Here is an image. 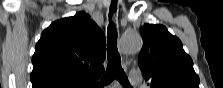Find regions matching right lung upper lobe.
Returning <instances> with one entry per match:
<instances>
[{
    "label": "right lung upper lobe",
    "mask_w": 223,
    "mask_h": 88,
    "mask_svg": "<svg viewBox=\"0 0 223 88\" xmlns=\"http://www.w3.org/2000/svg\"><path fill=\"white\" fill-rule=\"evenodd\" d=\"M105 57L104 33L88 14L57 20L36 44L32 88H97Z\"/></svg>",
    "instance_id": "right-lung-upper-lobe-1"
}]
</instances>
